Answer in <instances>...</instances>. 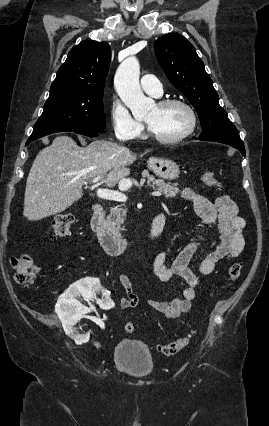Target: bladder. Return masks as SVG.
Returning a JSON list of instances; mask_svg holds the SVG:
<instances>
[{
    "label": "bladder",
    "instance_id": "obj_1",
    "mask_svg": "<svg viewBox=\"0 0 269 426\" xmlns=\"http://www.w3.org/2000/svg\"><path fill=\"white\" fill-rule=\"evenodd\" d=\"M113 363L123 372L135 377H145L154 370V359L149 348L139 340H120L113 351Z\"/></svg>",
    "mask_w": 269,
    "mask_h": 426
}]
</instances>
